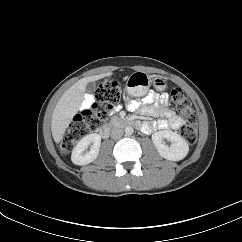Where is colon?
Here are the masks:
<instances>
[{
	"instance_id": "5ec220e1",
	"label": "colon",
	"mask_w": 242,
	"mask_h": 242,
	"mask_svg": "<svg viewBox=\"0 0 242 242\" xmlns=\"http://www.w3.org/2000/svg\"><path fill=\"white\" fill-rule=\"evenodd\" d=\"M91 97L92 102L74 118L63 135L60 143L63 153H69L79 139L98 129L100 123L108 117L113 106L120 100V85L115 79L106 78L99 83ZM170 102L187 120L181 129L183 138L188 144H194L197 140V115L191 102L179 88L171 91Z\"/></svg>"
}]
</instances>
